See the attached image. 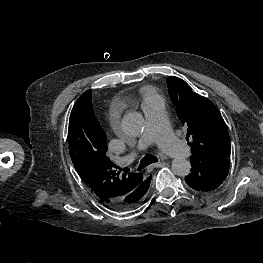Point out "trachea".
Masks as SVG:
<instances>
[{
    "label": "trachea",
    "mask_w": 263,
    "mask_h": 263,
    "mask_svg": "<svg viewBox=\"0 0 263 263\" xmlns=\"http://www.w3.org/2000/svg\"><path fill=\"white\" fill-rule=\"evenodd\" d=\"M158 161V158L152 154H146L140 161V164L138 166V170H142L143 168H145L146 166L155 163ZM122 171L124 172H129L130 169L125 167L122 169Z\"/></svg>",
    "instance_id": "1"
}]
</instances>
